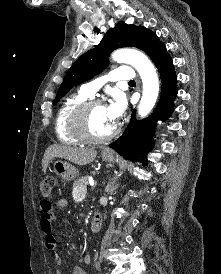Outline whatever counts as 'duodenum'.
Returning a JSON list of instances; mask_svg holds the SVG:
<instances>
[{
  "label": "duodenum",
  "mask_w": 221,
  "mask_h": 274,
  "mask_svg": "<svg viewBox=\"0 0 221 274\" xmlns=\"http://www.w3.org/2000/svg\"><path fill=\"white\" fill-rule=\"evenodd\" d=\"M101 225H102V217H101V214L96 211L94 212L92 218H91V221H90V232L91 233H96L100 230L101 228Z\"/></svg>",
  "instance_id": "duodenum-1"
}]
</instances>
